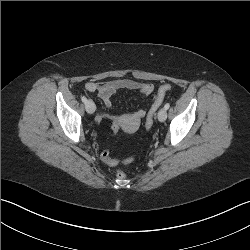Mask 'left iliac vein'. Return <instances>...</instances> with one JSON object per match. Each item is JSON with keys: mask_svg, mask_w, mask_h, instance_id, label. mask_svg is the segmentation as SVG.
<instances>
[{"mask_svg": "<svg viewBox=\"0 0 250 250\" xmlns=\"http://www.w3.org/2000/svg\"><path fill=\"white\" fill-rule=\"evenodd\" d=\"M167 118V111L165 108L160 109V111L158 112V120L160 122H164Z\"/></svg>", "mask_w": 250, "mask_h": 250, "instance_id": "left-iliac-vein-1", "label": "left iliac vein"}]
</instances>
